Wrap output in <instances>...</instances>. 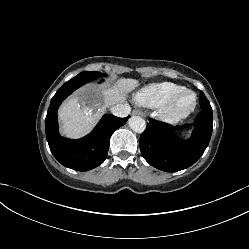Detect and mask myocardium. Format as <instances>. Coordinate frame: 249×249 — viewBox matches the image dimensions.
<instances>
[{
    "label": "myocardium",
    "mask_w": 249,
    "mask_h": 249,
    "mask_svg": "<svg viewBox=\"0 0 249 249\" xmlns=\"http://www.w3.org/2000/svg\"><path fill=\"white\" fill-rule=\"evenodd\" d=\"M184 94H188L191 97V102L184 108L178 107V101ZM197 104L196 94L187 88L174 93L167 102L160 108V117L162 120L168 123H176L187 118L195 109Z\"/></svg>",
    "instance_id": "1"
}]
</instances>
